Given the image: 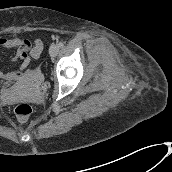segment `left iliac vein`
Listing matches in <instances>:
<instances>
[{"label": "left iliac vein", "instance_id": "left-iliac-vein-1", "mask_svg": "<svg viewBox=\"0 0 172 172\" xmlns=\"http://www.w3.org/2000/svg\"><path fill=\"white\" fill-rule=\"evenodd\" d=\"M59 52V47L56 44H52L49 48V54L51 57H55Z\"/></svg>", "mask_w": 172, "mask_h": 172}]
</instances>
